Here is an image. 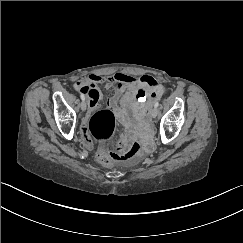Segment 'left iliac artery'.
I'll return each mask as SVG.
<instances>
[{
	"label": "left iliac artery",
	"mask_w": 243,
	"mask_h": 243,
	"mask_svg": "<svg viewBox=\"0 0 243 243\" xmlns=\"http://www.w3.org/2000/svg\"><path fill=\"white\" fill-rule=\"evenodd\" d=\"M159 106V102H156L154 107L157 108Z\"/></svg>",
	"instance_id": "1"
}]
</instances>
